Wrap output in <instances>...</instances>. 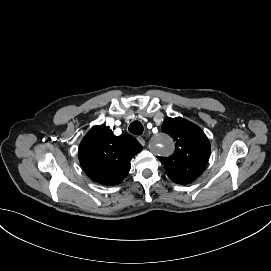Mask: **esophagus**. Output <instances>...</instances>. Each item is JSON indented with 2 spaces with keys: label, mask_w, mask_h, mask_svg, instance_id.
Returning <instances> with one entry per match:
<instances>
[{
  "label": "esophagus",
  "mask_w": 271,
  "mask_h": 271,
  "mask_svg": "<svg viewBox=\"0 0 271 271\" xmlns=\"http://www.w3.org/2000/svg\"><path fill=\"white\" fill-rule=\"evenodd\" d=\"M137 140L139 141V143L144 146L145 143L148 141V138L145 135H142L141 137H137Z\"/></svg>",
  "instance_id": "esophagus-1"
}]
</instances>
